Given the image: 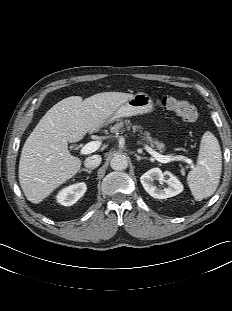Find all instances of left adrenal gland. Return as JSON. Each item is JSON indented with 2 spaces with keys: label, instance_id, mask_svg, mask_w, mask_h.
<instances>
[{
  "label": "left adrenal gland",
  "instance_id": "1",
  "mask_svg": "<svg viewBox=\"0 0 232 311\" xmlns=\"http://www.w3.org/2000/svg\"><path fill=\"white\" fill-rule=\"evenodd\" d=\"M135 157L137 158L138 161H140L142 159H147V157H141L138 154H135Z\"/></svg>",
  "mask_w": 232,
  "mask_h": 311
}]
</instances>
